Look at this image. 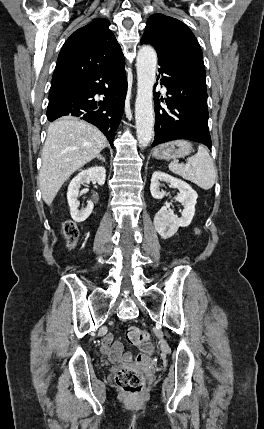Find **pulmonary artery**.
<instances>
[{
    "instance_id": "obj_1",
    "label": "pulmonary artery",
    "mask_w": 264,
    "mask_h": 429,
    "mask_svg": "<svg viewBox=\"0 0 264 429\" xmlns=\"http://www.w3.org/2000/svg\"><path fill=\"white\" fill-rule=\"evenodd\" d=\"M163 90L165 91V90H166V88L164 87V88H163Z\"/></svg>"
}]
</instances>
